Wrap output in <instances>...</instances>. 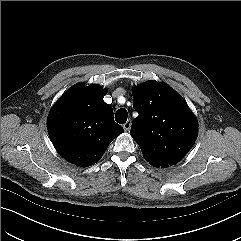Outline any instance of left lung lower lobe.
I'll use <instances>...</instances> for the list:
<instances>
[{"label":"left lung lower lobe","mask_w":241,"mask_h":241,"mask_svg":"<svg viewBox=\"0 0 241 241\" xmlns=\"http://www.w3.org/2000/svg\"><path fill=\"white\" fill-rule=\"evenodd\" d=\"M152 166H154L153 164H151ZM155 167H160V166H155ZM161 167H166V166H161Z\"/></svg>","instance_id":"0a47b994"}]
</instances>
